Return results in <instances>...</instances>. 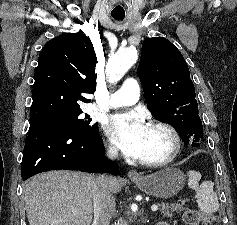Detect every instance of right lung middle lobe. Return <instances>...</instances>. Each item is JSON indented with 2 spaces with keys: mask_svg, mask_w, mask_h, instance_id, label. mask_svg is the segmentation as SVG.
Masks as SVG:
<instances>
[{
  "mask_svg": "<svg viewBox=\"0 0 237 225\" xmlns=\"http://www.w3.org/2000/svg\"><path fill=\"white\" fill-rule=\"evenodd\" d=\"M80 114H82V110L74 113L53 116L32 124L60 127L80 134H92L97 132L98 124H92L88 115H85V118L81 119L79 117Z\"/></svg>",
  "mask_w": 237,
  "mask_h": 225,
  "instance_id": "1",
  "label": "right lung middle lobe"
}]
</instances>
